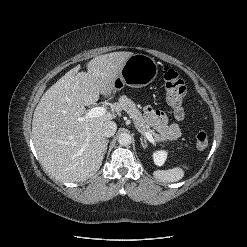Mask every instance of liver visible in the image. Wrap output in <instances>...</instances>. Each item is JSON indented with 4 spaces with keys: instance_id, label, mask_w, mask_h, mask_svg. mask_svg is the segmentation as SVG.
<instances>
[{
    "instance_id": "6515ba94",
    "label": "liver",
    "mask_w": 247,
    "mask_h": 247,
    "mask_svg": "<svg viewBox=\"0 0 247 247\" xmlns=\"http://www.w3.org/2000/svg\"><path fill=\"white\" fill-rule=\"evenodd\" d=\"M132 52H112L93 58L87 73L76 66L42 96L33 114L32 139L39 160L56 179L80 182L89 179L101 167L104 158L103 125L116 114L83 119L85 106L99 95L114 89ZM113 108L119 113V105Z\"/></svg>"
}]
</instances>
